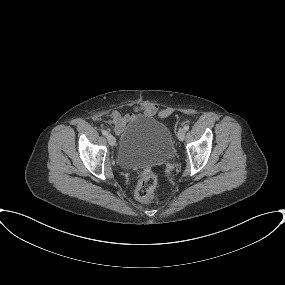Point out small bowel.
Wrapping results in <instances>:
<instances>
[{
  "label": "small bowel",
  "instance_id": "1",
  "mask_svg": "<svg viewBox=\"0 0 285 285\" xmlns=\"http://www.w3.org/2000/svg\"><path fill=\"white\" fill-rule=\"evenodd\" d=\"M134 111H142L147 115H154L157 113V106L154 103L142 102L134 106ZM135 116L134 112L122 114L119 111H113L109 115V123L114 126L117 134H120L125 129L127 123Z\"/></svg>",
  "mask_w": 285,
  "mask_h": 285
}]
</instances>
